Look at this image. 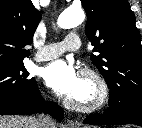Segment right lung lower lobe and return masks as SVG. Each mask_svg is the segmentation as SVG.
Returning a JSON list of instances; mask_svg holds the SVG:
<instances>
[{"instance_id": "98d812e1", "label": "right lung lower lobe", "mask_w": 142, "mask_h": 128, "mask_svg": "<svg viewBox=\"0 0 142 128\" xmlns=\"http://www.w3.org/2000/svg\"><path fill=\"white\" fill-rule=\"evenodd\" d=\"M43 110L57 120L62 119L63 110L54 102H43L38 87L26 96L0 98V115L31 114Z\"/></svg>"}]
</instances>
